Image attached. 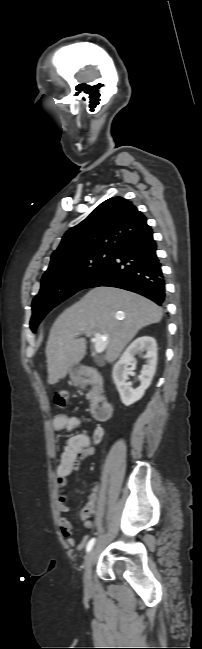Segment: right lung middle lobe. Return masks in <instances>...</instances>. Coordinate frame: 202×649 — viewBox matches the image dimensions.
Returning <instances> with one entry per match:
<instances>
[{"mask_svg":"<svg viewBox=\"0 0 202 649\" xmlns=\"http://www.w3.org/2000/svg\"><path fill=\"white\" fill-rule=\"evenodd\" d=\"M114 252L92 251L64 262L57 270L42 277L41 289L32 303L30 328L35 333L46 314L72 296L94 277L112 258Z\"/></svg>","mask_w":202,"mask_h":649,"instance_id":"1","label":"right lung middle lobe"}]
</instances>
